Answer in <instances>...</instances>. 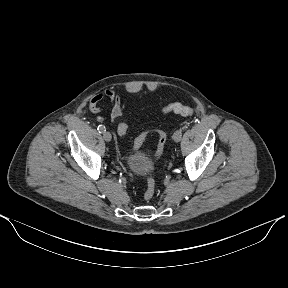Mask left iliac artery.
Listing matches in <instances>:
<instances>
[{
	"label": "left iliac artery",
	"mask_w": 288,
	"mask_h": 288,
	"mask_svg": "<svg viewBox=\"0 0 288 288\" xmlns=\"http://www.w3.org/2000/svg\"><path fill=\"white\" fill-rule=\"evenodd\" d=\"M179 131H180V132H183V131H184V128H183V127H180V128H179Z\"/></svg>",
	"instance_id": "44dca946"
}]
</instances>
